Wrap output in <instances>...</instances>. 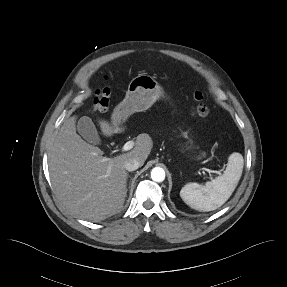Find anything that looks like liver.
<instances>
[{
	"label": "liver",
	"instance_id": "1",
	"mask_svg": "<svg viewBox=\"0 0 287 287\" xmlns=\"http://www.w3.org/2000/svg\"><path fill=\"white\" fill-rule=\"evenodd\" d=\"M75 123L74 116L65 120L53 140L48 154L50 179L55 194L72 214L98 222L123 207L128 178L124 162L134 158L143 165L153 142L148 134H140L133 150L107 158L100 148L86 143L76 133ZM99 124L105 136L119 131L118 126L107 121Z\"/></svg>",
	"mask_w": 287,
	"mask_h": 287
}]
</instances>
